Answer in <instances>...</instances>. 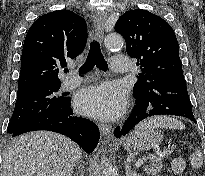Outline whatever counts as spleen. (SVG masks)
Returning a JSON list of instances; mask_svg holds the SVG:
<instances>
[{
  "instance_id": "1",
  "label": "spleen",
  "mask_w": 205,
  "mask_h": 176,
  "mask_svg": "<svg viewBox=\"0 0 205 176\" xmlns=\"http://www.w3.org/2000/svg\"><path fill=\"white\" fill-rule=\"evenodd\" d=\"M169 128V129H184L185 126L179 120L167 117V116H156L146 119L139 123L137 129L142 128ZM190 163L194 169H198L203 165L202 153L200 150H196L189 158Z\"/></svg>"
}]
</instances>
